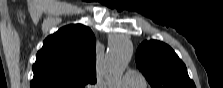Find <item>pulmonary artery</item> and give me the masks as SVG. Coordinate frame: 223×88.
Wrapping results in <instances>:
<instances>
[{
  "mask_svg": "<svg viewBox=\"0 0 223 88\" xmlns=\"http://www.w3.org/2000/svg\"><path fill=\"white\" fill-rule=\"evenodd\" d=\"M145 83V79L139 71L131 70L125 74L119 85L125 88H139L144 87Z\"/></svg>",
  "mask_w": 223,
  "mask_h": 88,
  "instance_id": "1",
  "label": "pulmonary artery"
}]
</instances>
